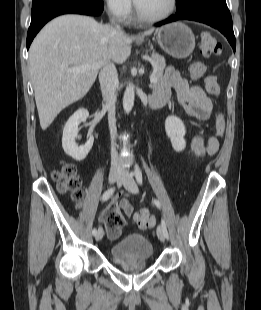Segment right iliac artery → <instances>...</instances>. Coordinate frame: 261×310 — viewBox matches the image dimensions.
Returning <instances> with one entry per match:
<instances>
[{
	"label": "right iliac artery",
	"instance_id": "right-iliac-artery-1",
	"mask_svg": "<svg viewBox=\"0 0 261 310\" xmlns=\"http://www.w3.org/2000/svg\"><path fill=\"white\" fill-rule=\"evenodd\" d=\"M114 191H115V187L110 188V189H108L107 191H105L104 194H103V196H102V201L108 200V199L113 195ZM96 234H97V230H96V228H94V229L92 230V235L95 236Z\"/></svg>",
	"mask_w": 261,
	"mask_h": 310
}]
</instances>
